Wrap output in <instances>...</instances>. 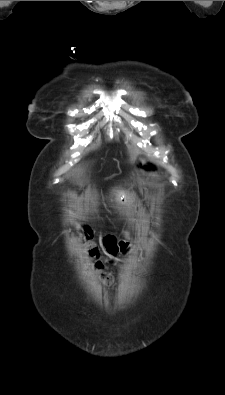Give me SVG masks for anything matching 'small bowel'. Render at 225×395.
Masks as SVG:
<instances>
[{
    "label": "small bowel",
    "instance_id": "1",
    "mask_svg": "<svg viewBox=\"0 0 225 395\" xmlns=\"http://www.w3.org/2000/svg\"><path fill=\"white\" fill-rule=\"evenodd\" d=\"M104 247L110 256H115L118 253L126 254L129 251V245L123 241H117L113 236H107L104 239Z\"/></svg>",
    "mask_w": 225,
    "mask_h": 395
}]
</instances>
